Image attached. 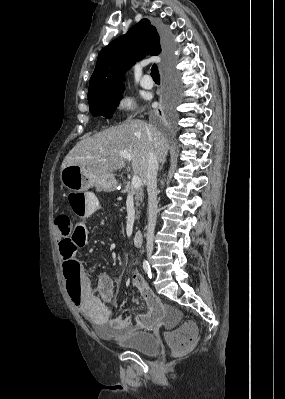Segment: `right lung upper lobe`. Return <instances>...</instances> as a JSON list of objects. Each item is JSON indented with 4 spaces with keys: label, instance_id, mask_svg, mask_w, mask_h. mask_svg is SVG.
Instances as JSON below:
<instances>
[{
    "label": "right lung upper lobe",
    "instance_id": "obj_1",
    "mask_svg": "<svg viewBox=\"0 0 285 399\" xmlns=\"http://www.w3.org/2000/svg\"><path fill=\"white\" fill-rule=\"evenodd\" d=\"M160 52V35L156 27L148 19H142L101 50L90 78L88 100L123 91L126 70L145 54L158 55Z\"/></svg>",
    "mask_w": 285,
    "mask_h": 399
}]
</instances>
